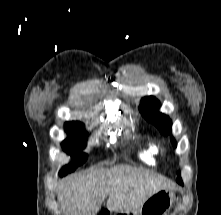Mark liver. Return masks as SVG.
<instances>
[{
  "instance_id": "liver-1",
  "label": "liver",
  "mask_w": 221,
  "mask_h": 215,
  "mask_svg": "<svg viewBox=\"0 0 221 215\" xmlns=\"http://www.w3.org/2000/svg\"><path fill=\"white\" fill-rule=\"evenodd\" d=\"M175 186L162 176L118 165L68 176L59 185L58 200L64 215H95L107 197L111 212L131 211L159 190Z\"/></svg>"
}]
</instances>
